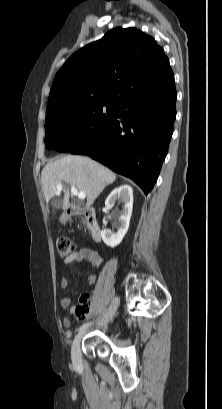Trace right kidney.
Masks as SVG:
<instances>
[{
  "label": "right kidney",
  "instance_id": "obj_1",
  "mask_svg": "<svg viewBox=\"0 0 222 409\" xmlns=\"http://www.w3.org/2000/svg\"><path fill=\"white\" fill-rule=\"evenodd\" d=\"M124 203L123 209L119 212V230L114 233L110 230L104 229L101 231V237L107 246L115 247L124 238L128 231L130 218L133 209V190L132 187L124 184L115 188L105 200V206L110 208L117 201Z\"/></svg>",
  "mask_w": 222,
  "mask_h": 409
}]
</instances>
